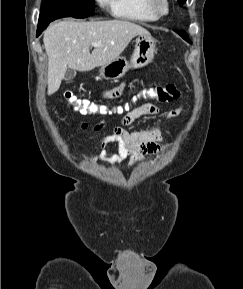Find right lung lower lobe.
Instances as JSON below:
<instances>
[{
	"label": "right lung lower lobe",
	"mask_w": 243,
	"mask_h": 289,
	"mask_svg": "<svg viewBox=\"0 0 243 289\" xmlns=\"http://www.w3.org/2000/svg\"><path fill=\"white\" fill-rule=\"evenodd\" d=\"M63 16L61 15H56L54 17H50V18H45V17H41L39 16V22H38V29H37V34L36 36L38 37L42 31L48 26V24L58 18H62Z\"/></svg>",
	"instance_id": "obj_1"
}]
</instances>
